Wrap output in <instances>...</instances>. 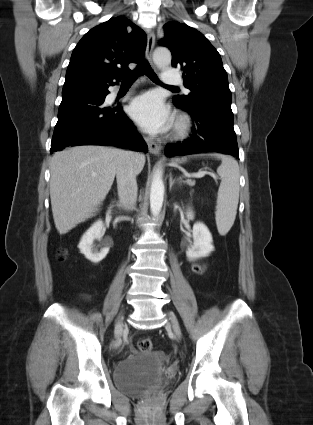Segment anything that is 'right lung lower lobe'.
<instances>
[{
	"mask_svg": "<svg viewBox=\"0 0 313 425\" xmlns=\"http://www.w3.org/2000/svg\"><path fill=\"white\" fill-rule=\"evenodd\" d=\"M110 85L114 83L63 88L50 152L79 145L148 151L145 141L136 132L122 107L104 105Z\"/></svg>",
	"mask_w": 313,
	"mask_h": 425,
	"instance_id": "right-lung-lower-lobe-1",
	"label": "right lung lower lobe"
}]
</instances>
